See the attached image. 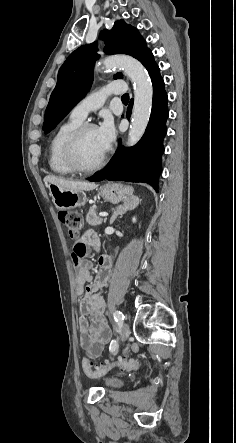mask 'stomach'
Segmentation results:
<instances>
[{
	"instance_id": "1",
	"label": "stomach",
	"mask_w": 236,
	"mask_h": 443,
	"mask_svg": "<svg viewBox=\"0 0 236 443\" xmlns=\"http://www.w3.org/2000/svg\"><path fill=\"white\" fill-rule=\"evenodd\" d=\"M53 203L58 210H70L83 206L86 194L83 190H70L54 184L48 186ZM133 189L123 184H108L101 188L100 194L104 200L117 204L132 196Z\"/></svg>"
}]
</instances>
